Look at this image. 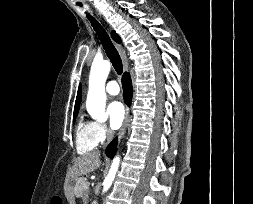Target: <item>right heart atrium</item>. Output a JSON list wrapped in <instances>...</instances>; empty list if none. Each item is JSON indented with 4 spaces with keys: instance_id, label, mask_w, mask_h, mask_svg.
<instances>
[{
    "instance_id": "right-heart-atrium-1",
    "label": "right heart atrium",
    "mask_w": 253,
    "mask_h": 204,
    "mask_svg": "<svg viewBox=\"0 0 253 204\" xmlns=\"http://www.w3.org/2000/svg\"><path fill=\"white\" fill-rule=\"evenodd\" d=\"M92 129H93V134H94V137H95L97 143L105 142L110 136L109 129L102 122L93 121L92 122Z\"/></svg>"
}]
</instances>
